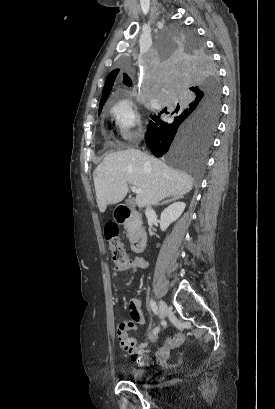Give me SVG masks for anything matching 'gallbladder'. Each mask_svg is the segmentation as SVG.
Masks as SVG:
<instances>
[{"mask_svg": "<svg viewBox=\"0 0 275 409\" xmlns=\"http://www.w3.org/2000/svg\"><path fill=\"white\" fill-rule=\"evenodd\" d=\"M127 205H131V202H127Z\"/></svg>", "mask_w": 275, "mask_h": 409, "instance_id": "gallbladder-1", "label": "gallbladder"}]
</instances>
